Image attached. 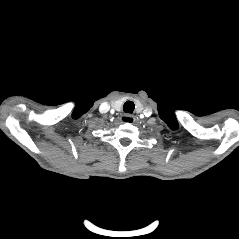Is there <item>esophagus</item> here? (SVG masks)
Listing matches in <instances>:
<instances>
[{"mask_svg":"<svg viewBox=\"0 0 239 239\" xmlns=\"http://www.w3.org/2000/svg\"><path fill=\"white\" fill-rule=\"evenodd\" d=\"M135 121H136V117L134 115H131V114H124L121 117V122L134 123Z\"/></svg>","mask_w":239,"mask_h":239,"instance_id":"obj_1","label":"esophagus"}]
</instances>
